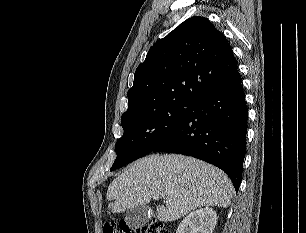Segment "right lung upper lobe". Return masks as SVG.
<instances>
[{"instance_id": "right-lung-upper-lobe-1", "label": "right lung upper lobe", "mask_w": 306, "mask_h": 233, "mask_svg": "<svg viewBox=\"0 0 306 233\" xmlns=\"http://www.w3.org/2000/svg\"><path fill=\"white\" fill-rule=\"evenodd\" d=\"M239 78L225 36L207 18L192 17L149 49L135 71L125 113L164 99L199 104Z\"/></svg>"}]
</instances>
